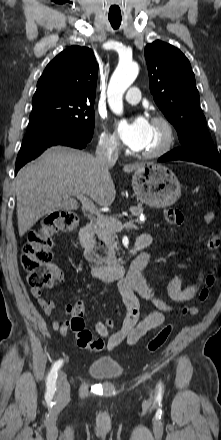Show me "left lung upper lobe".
Listing matches in <instances>:
<instances>
[{
  "label": "left lung upper lobe",
  "instance_id": "left-lung-upper-lobe-1",
  "mask_svg": "<svg viewBox=\"0 0 221 440\" xmlns=\"http://www.w3.org/2000/svg\"><path fill=\"white\" fill-rule=\"evenodd\" d=\"M150 91L177 130L181 147L171 152L183 160L221 166L219 152L199 106V93L189 60L176 47L157 40L145 47Z\"/></svg>",
  "mask_w": 221,
  "mask_h": 440
}]
</instances>
